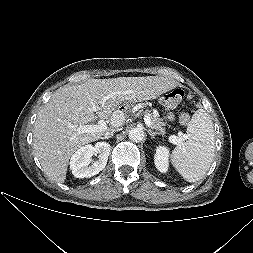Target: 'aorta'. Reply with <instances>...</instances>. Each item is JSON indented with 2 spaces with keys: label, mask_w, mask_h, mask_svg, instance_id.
I'll list each match as a JSON object with an SVG mask.
<instances>
[{
  "label": "aorta",
  "mask_w": 253,
  "mask_h": 253,
  "mask_svg": "<svg viewBox=\"0 0 253 253\" xmlns=\"http://www.w3.org/2000/svg\"><path fill=\"white\" fill-rule=\"evenodd\" d=\"M128 136L132 142H141L144 139V131L140 128H133L129 131Z\"/></svg>",
  "instance_id": "aorta-1"
}]
</instances>
